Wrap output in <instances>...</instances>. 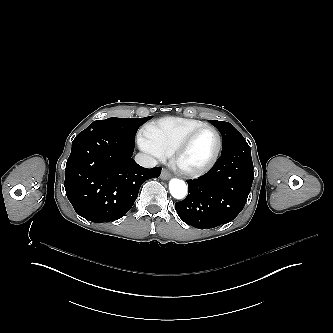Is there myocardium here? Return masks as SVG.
I'll return each instance as SVG.
<instances>
[{"instance_id":"myocardium-1","label":"myocardium","mask_w":333,"mask_h":333,"mask_svg":"<svg viewBox=\"0 0 333 333\" xmlns=\"http://www.w3.org/2000/svg\"><path fill=\"white\" fill-rule=\"evenodd\" d=\"M204 129L212 130L217 139V148H216V151H215L213 157L206 165L198 167V168L186 169V168L180 167L178 165V160H179L180 156L185 151V149L188 147V145L190 144V142L194 138V136ZM221 150H222V137H221L219 131L214 126L205 124V125L192 129L191 131L186 133L180 139V141L177 143V145L174 147L173 151L170 154L169 165H170L171 169L178 175H181L184 177H189V178L200 177V176L206 174L207 172H209L216 165V163L220 157Z\"/></svg>"}]
</instances>
